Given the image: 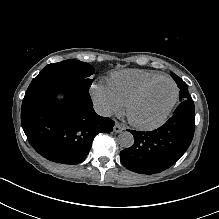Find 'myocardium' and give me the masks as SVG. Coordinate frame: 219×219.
I'll list each match as a JSON object with an SVG mask.
<instances>
[{
  "mask_svg": "<svg viewBox=\"0 0 219 219\" xmlns=\"http://www.w3.org/2000/svg\"><path fill=\"white\" fill-rule=\"evenodd\" d=\"M169 81L173 84L174 89H175V93H174V97L171 100V102L169 103V105L165 108V110L163 111V113L161 114V116L152 122H142V121H138L136 120L133 115H132V110L133 108L146 96V94L159 82L161 81ZM178 96H179V89L177 84L175 83L174 80H172L169 77H161L158 78L154 81H152L151 83L147 84L145 87H143L140 91H138L126 104V108H125V113H126V117L129 120L130 124L133 125L134 127L140 128V129H146V130H150V129H154L160 125H162L168 118L169 114L171 113L173 107L175 106L177 100H178Z\"/></svg>",
  "mask_w": 219,
  "mask_h": 219,
  "instance_id": "1",
  "label": "myocardium"
}]
</instances>
